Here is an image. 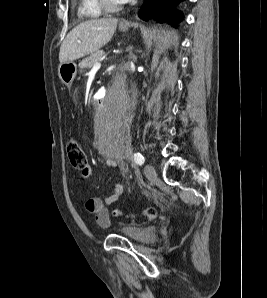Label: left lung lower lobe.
<instances>
[{
	"instance_id": "left-lung-lower-lobe-1",
	"label": "left lung lower lobe",
	"mask_w": 267,
	"mask_h": 298,
	"mask_svg": "<svg viewBox=\"0 0 267 298\" xmlns=\"http://www.w3.org/2000/svg\"><path fill=\"white\" fill-rule=\"evenodd\" d=\"M179 0H146L139 17L148 20L150 17L159 22L169 21L174 26L183 18L181 13L176 16L172 15V9Z\"/></svg>"
}]
</instances>
